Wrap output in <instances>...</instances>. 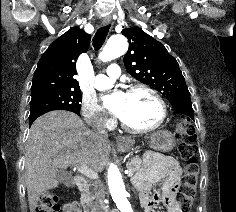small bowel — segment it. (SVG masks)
<instances>
[{"label": "small bowel", "mask_w": 236, "mask_h": 212, "mask_svg": "<svg viewBox=\"0 0 236 212\" xmlns=\"http://www.w3.org/2000/svg\"><path fill=\"white\" fill-rule=\"evenodd\" d=\"M152 160L135 177V185L140 192L142 206L145 212H153L164 203L166 212H181L174 197V186L181 175V168L176 159L172 157H159L151 155ZM164 181L160 191L151 195V186L158 181ZM62 212H82L76 202L65 203Z\"/></svg>", "instance_id": "1"}]
</instances>
